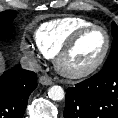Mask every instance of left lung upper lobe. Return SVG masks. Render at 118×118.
Returning <instances> with one entry per match:
<instances>
[{"instance_id": "1", "label": "left lung upper lobe", "mask_w": 118, "mask_h": 118, "mask_svg": "<svg viewBox=\"0 0 118 118\" xmlns=\"http://www.w3.org/2000/svg\"><path fill=\"white\" fill-rule=\"evenodd\" d=\"M112 35L114 37L111 52L103 68L118 64V26L112 22Z\"/></svg>"}]
</instances>
